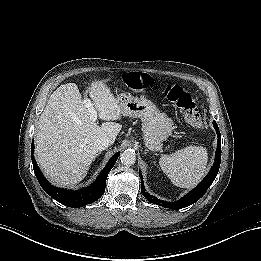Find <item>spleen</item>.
<instances>
[{"label": "spleen", "mask_w": 261, "mask_h": 261, "mask_svg": "<svg viewBox=\"0 0 261 261\" xmlns=\"http://www.w3.org/2000/svg\"><path fill=\"white\" fill-rule=\"evenodd\" d=\"M207 162L206 148L189 145L171 154L162 155L159 165L174 185L189 188L201 180Z\"/></svg>", "instance_id": "spleen-1"}]
</instances>
